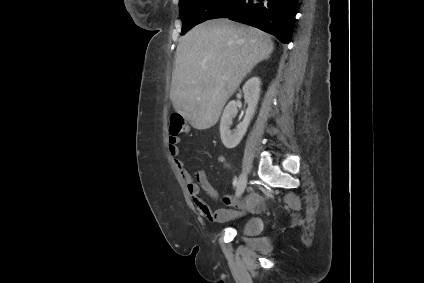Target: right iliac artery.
Wrapping results in <instances>:
<instances>
[{
  "label": "right iliac artery",
  "instance_id": "82829eb1",
  "mask_svg": "<svg viewBox=\"0 0 424 283\" xmlns=\"http://www.w3.org/2000/svg\"><path fill=\"white\" fill-rule=\"evenodd\" d=\"M237 183H238V182H237V178H235V179H234V181H233V185H234V187L237 185Z\"/></svg>",
  "mask_w": 424,
  "mask_h": 283
}]
</instances>
